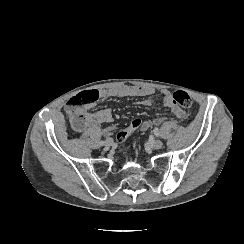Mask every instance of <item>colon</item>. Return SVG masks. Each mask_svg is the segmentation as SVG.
<instances>
[{
    "label": "colon",
    "mask_w": 244,
    "mask_h": 244,
    "mask_svg": "<svg viewBox=\"0 0 244 244\" xmlns=\"http://www.w3.org/2000/svg\"><path fill=\"white\" fill-rule=\"evenodd\" d=\"M173 104L183 107V108H188L191 107L193 104V101L190 97V95L184 91V90H178L173 93ZM67 110L70 112L71 117H72V123L74 128H79L82 126H85L87 124V116L83 112V108L80 105L73 106L72 102H68V108ZM143 121L142 117H138L136 121L132 123V125L129 126V129H126L122 133L119 132L117 134V140L119 142L124 141L125 137L132 133L137 127L138 124H140Z\"/></svg>",
    "instance_id": "colon-1"
}]
</instances>
